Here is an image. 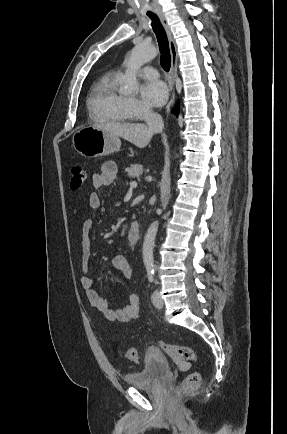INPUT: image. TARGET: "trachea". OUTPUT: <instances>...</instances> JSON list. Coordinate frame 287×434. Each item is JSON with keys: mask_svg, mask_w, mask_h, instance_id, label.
I'll return each mask as SVG.
<instances>
[{"mask_svg": "<svg viewBox=\"0 0 287 434\" xmlns=\"http://www.w3.org/2000/svg\"><path fill=\"white\" fill-rule=\"evenodd\" d=\"M148 17L151 19V26L158 40L159 50L161 53V57H160L161 66L166 72H169L171 67V54H170L169 42H168L166 31L163 25L161 24L159 18L157 17V15L148 14Z\"/></svg>", "mask_w": 287, "mask_h": 434, "instance_id": "1", "label": "trachea"}]
</instances>
